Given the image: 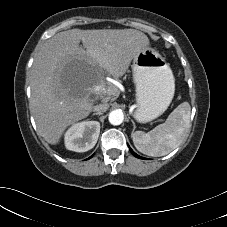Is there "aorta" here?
<instances>
[{"label": "aorta", "instance_id": "obj_1", "mask_svg": "<svg viewBox=\"0 0 227 227\" xmlns=\"http://www.w3.org/2000/svg\"><path fill=\"white\" fill-rule=\"evenodd\" d=\"M109 122L112 125H120L124 120V115L120 110H114L109 114Z\"/></svg>", "mask_w": 227, "mask_h": 227}]
</instances>
